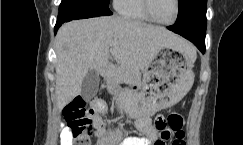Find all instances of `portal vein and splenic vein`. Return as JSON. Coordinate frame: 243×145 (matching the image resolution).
Returning a JSON list of instances; mask_svg holds the SVG:
<instances>
[{
	"mask_svg": "<svg viewBox=\"0 0 243 145\" xmlns=\"http://www.w3.org/2000/svg\"><path fill=\"white\" fill-rule=\"evenodd\" d=\"M115 45H116V42H115V41H111V42L109 43V46H110V47L115 46Z\"/></svg>",
	"mask_w": 243,
	"mask_h": 145,
	"instance_id": "1",
	"label": "portal vein and splenic vein"
}]
</instances>
